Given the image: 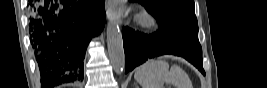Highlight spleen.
<instances>
[{
    "mask_svg": "<svg viewBox=\"0 0 267 88\" xmlns=\"http://www.w3.org/2000/svg\"><path fill=\"white\" fill-rule=\"evenodd\" d=\"M135 80L142 88H163L164 83L172 84L175 88H191L190 80L185 71L178 65L169 69L167 61L151 59L137 68Z\"/></svg>",
    "mask_w": 267,
    "mask_h": 88,
    "instance_id": "spleen-1",
    "label": "spleen"
}]
</instances>
